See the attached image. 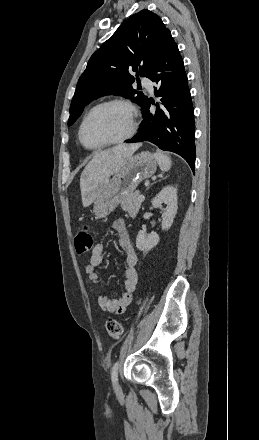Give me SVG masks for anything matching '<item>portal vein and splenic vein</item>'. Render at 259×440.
Returning <instances> with one entry per match:
<instances>
[{
  "mask_svg": "<svg viewBox=\"0 0 259 440\" xmlns=\"http://www.w3.org/2000/svg\"><path fill=\"white\" fill-rule=\"evenodd\" d=\"M144 199H145L144 195H139V196H138V200H139V201L142 202V201H144Z\"/></svg>",
  "mask_w": 259,
  "mask_h": 440,
  "instance_id": "1",
  "label": "portal vein and splenic vein"
}]
</instances>
